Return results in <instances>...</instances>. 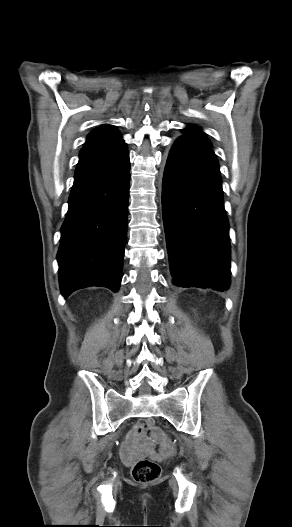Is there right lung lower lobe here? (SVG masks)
Wrapping results in <instances>:
<instances>
[{
    "label": "right lung lower lobe",
    "instance_id": "right-lung-lower-lobe-1",
    "mask_svg": "<svg viewBox=\"0 0 292 527\" xmlns=\"http://www.w3.org/2000/svg\"><path fill=\"white\" fill-rule=\"evenodd\" d=\"M130 184L124 141L80 152L57 254L62 295L89 286L118 291Z\"/></svg>",
    "mask_w": 292,
    "mask_h": 527
}]
</instances>
